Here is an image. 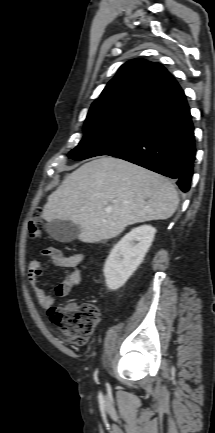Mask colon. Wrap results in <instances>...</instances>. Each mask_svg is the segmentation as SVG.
Here are the masks:
<instances>
[{"label":"colon","instance_id":"1","mask_svg":"<svg viewBox=\"0 0 215 433\" xmlns=\"http://www.w3.org/2000/svg\"><path fill=\"white\" fill-rule=\"evenodd\" d=\"M42 210L34 209L28 230L32 237H38L43 231ZM51 321L71 341L78 345H85L91 338L99 319V311L95 304L83 303L80 306L52 307Z\"/></svg>","mask_w":215,"mask_h":433}]
</instances>
